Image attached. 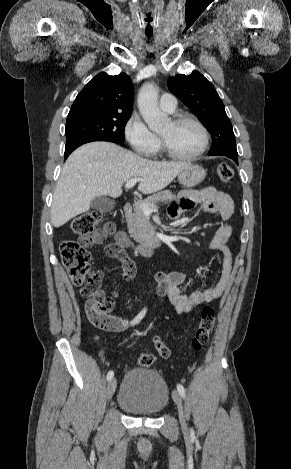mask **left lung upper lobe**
Segmentation results:
<instances>
[{
    "label": "left lung upper lobe",
    "instance_id": "obj_1",
    "mask_svg": "<svg viewBox=\"0 0 291 469\" xmlns=\"http://www.w3.org/2000/svg\"><path fill=\"white\" fill-rule=\"evenodd\" d=\"M170 91L189 107L209 130L213 145L209 155L238 154L232 124L214 86L201 73L179 74L168 79Z\"/></svg>",
    "mask_w": 291,
    "mask_h": 469
}]
</instances>
